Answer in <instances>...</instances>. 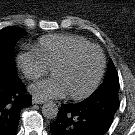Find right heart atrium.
I'll return each instance as SVG.
<instances>
[{
	"mask_svg": "<svg viewBox=\"0 0 135 135\" xmlns=\"http://www.w3.org/2000/svg\"><path fill=\"white\" fill-rule=\"evenodd\" d=\"M17 64L29 80H36L49 71V67L35 49L18 54Z\"/></svg>",
	"mask_w": 135,
	"mask_h": 135,
	"instance_id": "1",
	"label": "right heart atrium"
}]
</instances>
